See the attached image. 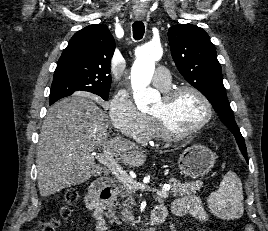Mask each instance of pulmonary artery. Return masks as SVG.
I'll use <instances>...</instances> for the list:
<instances>
[{
	"label": "pulmonary artery",
	"mask_w": 268,
	"mask_h": 231,
	"mask_svg": "<svg viewBox=\"0 0 268 231\" xmlns=\"http://www.w3.org/2000/svg\"><path fill=\"white\" fill-rule=\"evenodd\" d=\"M154 85L162 90L167 89L171 85V77L169 70L164 66H158L152 79Z\"/></svg>",
	"instance_id": "obj_1"
}]
</instances>
